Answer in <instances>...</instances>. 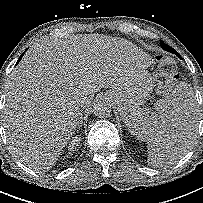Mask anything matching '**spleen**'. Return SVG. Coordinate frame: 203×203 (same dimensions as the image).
<instances>
[{"label": "spleen", "mask_w": 203, "mask_h": 203, "mask_svg": "<svg viewBox=\"0 0 203 203\" xmlns=\"http://www.w3.org/2000/svg\"><path fill=\"white\" fill-rule=\"evenodd\" d=\"M196 100L192 87L180 83L166 98L155 104L151 116L136 111L125 121L130 132L139 140H147L148 161L157 167L169 166L179 160L191 147L197 131ZM185 131L184 144L177 139L164 138L162 128L168 122ZM172 126V125H171Z\"/></svg>", "instance_id": "1"}]
</instances>
